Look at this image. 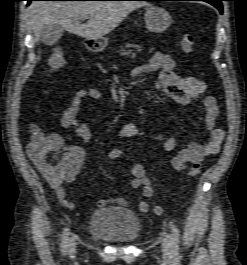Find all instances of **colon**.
Listing matches in <instances>:
<instances>
[{
	"label": "colon",
	"mask_w": 247,
	"mask_h": 265,
	"mask_svg": "<svg viewBox=\"0 0 247 265\" xmlns=\"http://www.w3.org/2000/svg\"><path fill=\"white\" fill-rule=\"evenodd\" d=\"M195 45L193 34H184L180 39V46L184 53H191ZM66 63L64 51L55 48L49 58L47 72H54L62 68ZM27 152L36 165L48 175L54 178L64 177L71 167V159L64 152L62 143L54 135H47L37 126L32 127L31 140L27 145ZM122 156L119 148H113L109 154L110 161H116ZM201 169L200 162H194L189 170V176L195 177ZM156 213H161L159 206L155 207Z\"/></svg>",
	"instance_id": "5ec220e1"
}]
</instances>
